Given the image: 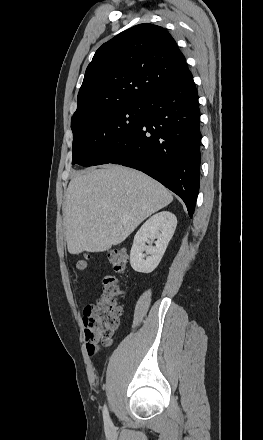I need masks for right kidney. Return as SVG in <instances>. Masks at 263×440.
Wrapping results in <instances>:
<instances>
[{"label": "right kidney", "instance_id": "right-kidney-1", "mask_svg": "<svg viewBox=\"0 0 263 440\" xmlns=\"http://www.w3.org/2000/svg\"><path fill=\"white\" fill-rule=\"evenodd\" d=\"M176 226V216L168 211L153 215L141 226L134 237L130 252V264L133 270L150 273L158 266ZM154 239H157L155 246L152 245ZM146 243L149 245L147 246ZM144 251L148 256L143 253Z\"/></svg>", "mask_w": 263, "mask_h": 440}]
</instances>
